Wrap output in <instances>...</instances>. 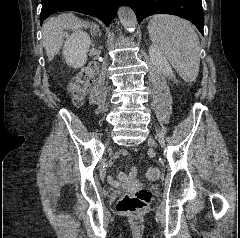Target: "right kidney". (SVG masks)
<instances>
[{
  "label": "right kidney",
  "mask_w": 240,
  "mask_h": 238,
  "mask_svg": "<svg viewBox=\"0 0 240 238\" xmlns=\"http://www.w3.org/2000/svg\"><path fill=\"white\" fill-rule=\"evenodd\" d=\"M90 43L91 40L87 33L80 30L73 32L64 43L65 62L74 69L83 67L87 62Z\"/></svg>",
  "instance_id": "right-kidney-1"
}]
</instances>
